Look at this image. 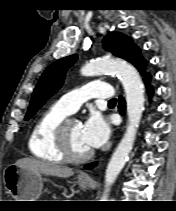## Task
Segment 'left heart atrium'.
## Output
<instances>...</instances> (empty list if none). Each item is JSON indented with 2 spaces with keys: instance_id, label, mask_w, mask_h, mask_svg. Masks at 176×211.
Segmentation results:
<instances>
[{
  "instance_id": "39dd6f15",
  "label": "left heart atrium",
  "mask_w": 176,
  "mask_h": 211,
  "mask_svg": "<svg viewBox=\"0 0 176 211\" xmlns=\"http://www.w3.org/2000/svg\"><path fill=\"white\" fill-rule=\"evenodd\" d=\"M109 134V126L99 114H91L82 125V138L90 149L105 144Z\"/></svg>"
}]
</instances>
